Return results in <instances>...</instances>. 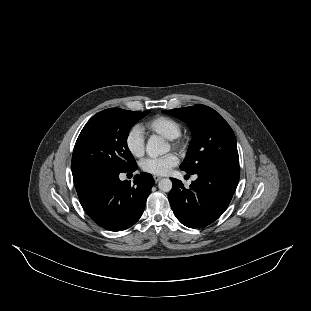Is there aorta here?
I'll list each match as a JSON object with an SVG mask.
<instances>
[{
	"label": "aorta",
	"mask_w": 311,
	"mask_h": 311,
	"mask_svg": "<svg viewBox=\"0 0 311 311\" xmlns=\"http://www.w3.org/2000/svg\"><path fill=\"white\" fill-rule=\"evenodd\" d=\"M169 150V144L165 143L161 137L157 135H152L148 139L146 145V152L151 158H156L158 156L164 155L169 152ZM158 188L163 192H169L172 189V181L168 178H164L158 183Z\"/></svg>",
	"instance_id": "762f6f07"
}]
</instances>
